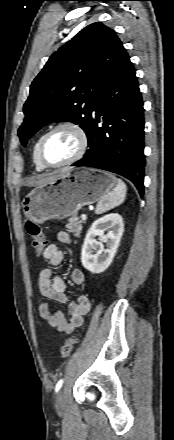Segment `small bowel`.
<instances>
[{
    "mask_svg": "<svg viewBox=\"0 0 174 440\" xmlns=\"http://www.w3.org/2000/svg\"><path fill=\"white\" fill-rule=\"evenodd\" d=\"M57 240L65 245L71 243V237L66 232H59ZM42 256L44 260L53 266L60 265L64 258L63 252L55 244H48L44 248ZM71 280L74 284L81 285L85 282V275L80 269H74L71 272ZM39 289L41 294L50 300L59 303H68L69 319L65 317L62 311L52 310L48 302H42L39 305L40 316L51 327L57 329L59 332L70 334L83 324L84 316L90 310V300L87 295L82 294L78 297L76 302H69L65 293V282L50 269H43L40 272Z\"/></svg>",
    "mask_w": 174,
    "mask_h": 440,
    "instance_id": "small-bowel-1",
    "label": "small bowel"
}]
</instances>
